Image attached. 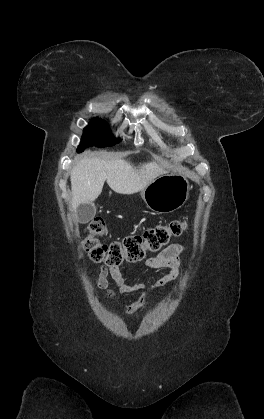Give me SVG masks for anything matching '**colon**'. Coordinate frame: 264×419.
Returning <instances> with one entry per match:
<instances>
[{
    "label": "colon",
    "mask_w": 264,
    "mask_h": 419,
    "mask_svg": "<svg viewBox=\"0 0 264 419\" xmlns=\"http://www.w3.org/2000/svg\"><path fill=\"white\" fill-rule=\"evenodd\" d=\"M184 229V222L172 220L148 228L141 235H129L121 241L103 243L98 236L105 233L106 224L103 218L97 217L89 225L90 233L84 240V249L94 262H103L115 268L124 262L140 261L148 252L160 251L172 238L179 237Z\"/></svg>",
    "instance_id": "5ec220e1"
}]
</instances>
